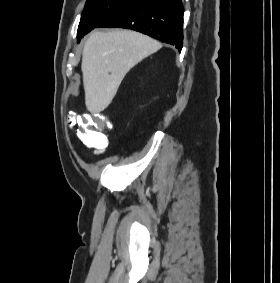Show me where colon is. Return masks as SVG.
<instances>
[{
    "mask_svg": "<svg viewBox=\"0 0 280 283\" xmlns=\"http://www.w3.org/2000/svg\"><path fill=\"white\" fill-rule=\"evenodd\" d=\"M76 127L75 136L85 147L97 152L103 151L108 145V139L104 132H110V122H104L106 114H100V110H85L82 116L69 114Z\"/></svg>",
    "mask_w": 280,
    "mask_h": 283,
    "instance_id": "5ec220e1",
    "label": "colon"
}]
</instances>
